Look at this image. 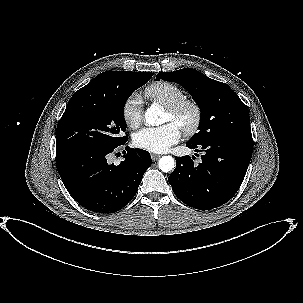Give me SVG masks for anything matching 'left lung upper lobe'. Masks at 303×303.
Instances as JSON below:
<instances>
[{"label":"left lung upper lobe","mask_w":303,"mask_h":303,"mask_svg":"<svg viewBox=\"0 0 303 303\" xmlns=\"http://www.w3.org/2000/svg\"><path fill=\"white\" fill-rule=\"evenodd\" d=\"M156 79L182 85L200 107L199 132L188 143L200 145L226 137L252 138L248 109L227 84L188 68L158 73Z\"/></svg>","instance_id":"1"}]
</instances>
